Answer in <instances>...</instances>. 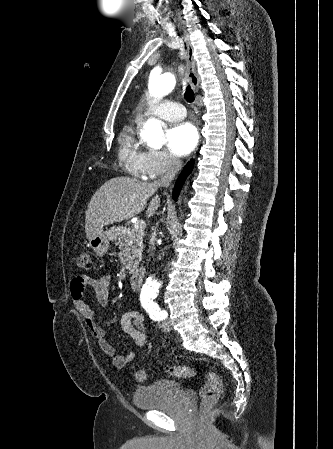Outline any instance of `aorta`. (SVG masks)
<instances>
[{"label":"aorta","instance_id":"obj_1","mask_svg":"<svg viewBox=\"0 0 333 449\" xmlns=\"http://www.w3.org/2000/svg\"><path fill=\"white\" fill-rule=\"evenodd\" d=\"M175 85V76L172 73L153 70L150 73L148 90L149 94L154 98H162L170 93ZM141 138L151 147L160 149L164 144V133L161 122L156 119L147 121L143 129L140 131ZM159 288L156 279L149 277L142 289L141 294L151 295Z\"/></svg>","mask_w":333,"mask_h":449}]
</instances>
